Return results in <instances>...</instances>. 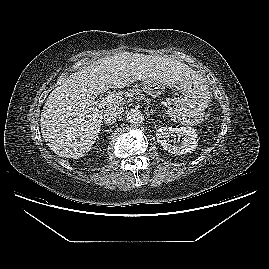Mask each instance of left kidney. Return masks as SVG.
<instances>
[{
  "label": "left kidney",
  "instance_id": "left-kidney-1",
  "mask_svg": "<svg viewBox=\"0 0 269 269\" xmlns=\"http://www.w3.org/2000/svg\"><path fill=\"white\" fill-rule=\"evenodd\" d=\"M174 134L183 138L180 144H171L170 136ZM156 137L162 147L172 154H185L193 151L197 146V133L191 127H161L156 132Z\"/></svg>",
  "mask_w": 269,
  "mask_h": 269
}]
</instances>
